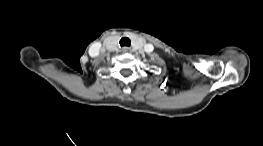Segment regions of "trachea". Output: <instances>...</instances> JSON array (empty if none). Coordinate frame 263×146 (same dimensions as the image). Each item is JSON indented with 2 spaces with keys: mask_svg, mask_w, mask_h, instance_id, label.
<instances>
[{
  "mask_svg": "<svg viewBox=\"0 0 263 146\" xmlns=\"http://www.w3.org/2000/svg\"><path fill=\"white\" fill-rule=\"evenodd\" d=\"M119 43H120V46H121V47H123V46L129 47V46L131 45V41H130V39L127 38V37L121 38V40H120Z\"/></svg>",
  "mask_w": 263,
  "mask_h": 146,
  "instance_id": "1",
  "label": "trachea"
}]
</instances>
